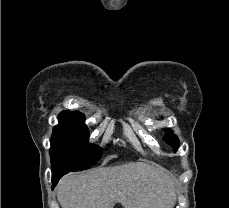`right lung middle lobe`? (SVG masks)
I'll return each mask as SVG.
<instances>
[{"instance_id":"dd1d6c3e","label":"right lung middle lobe","mask_w":229,"mask_h":208,"mask_svg":"<svg viewBox=\"0 0 229 208\" xmlns=\"http://www.w3.org/2000/svg\"><path fill=\"white\" fill-rule=\"evenodd\" d=\"M58 120L50 141L52 176L90 168L101 158L102 150L88 143L85 118L59 115Z\"/></svg>"}]
</instances>
